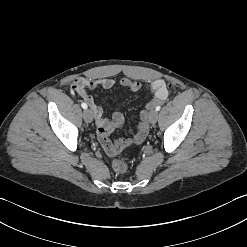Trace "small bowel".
<instances>
[{
  "mask_svg": "<svg viewBox=\"0 0 247 247\" xmlns=\"http://www.w3.org/2000/svg\"><path fill=\"white\" fill-rule=\"evenodd\" d=\"M119 84L120 86L134 92L139 91L142 88V84L140 82L133 81L129 78L120 79ZM115 85L116 81L111 78L80 77L75 79L71 86L72 91L89 105L96 120L98 139L109 156H114L118 152V147L120 146H124L132 142H142L148 132L147 111H143L140 116V122L134 131L133 139H119L116 141H111L109 139L110 133L124 124V116L120 112H115L111 118L105 117L103 108L95 102L94 98L90 95L89 90L96 88L111 89ZM148 89L153 94V100L148 104V108L155 103L163 101L168 96V90L163 80L158 79L151 82L148 85ZM101 131H104L103 138L100 136Z\"/></svg>",
  "mask_w": 247,
  "mask_h": 247,
  "instance_id": "c3829d8e",
  "label": "small bowel"
}]
</instances>
